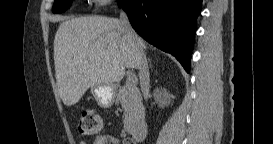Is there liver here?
<instances>
[{
  "instance_id": "liver-1",
  "label": "liver",
  "mask_w": 273,
  "mask_h": 144,
  "mask_svg": "<svg viewBox=\"0 0 273 144\" xmlns=\"http://www.w3.org/2000/svg\"><path fill=\"white\" fill-rule=\"evenodd\" d=\"M54 62L58 92L66 106L75 105L90 87L114 86L125 68H138L133 40L120 20L102 16L62 22L54 39Z\"/></svg>"
}]
</instances>
